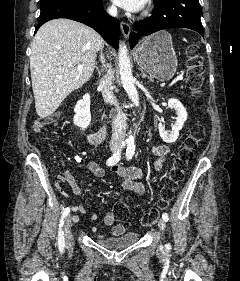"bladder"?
<instances>
[{"instance_id":"1","label":"bladder","mask_w":240,"mask_h":281,"mask_svg":"<svg viewBox=\"0 0 240 281\" xmlns=\"http://www.w3.org/2000/svg\"><path fill=\"white\" fill-rule=\"evenodd\" d=\"M140 236L135 232H128L118 237L99 239L98 243L108 249H125L134 245Z\"/></svg>"}]
</instances>
